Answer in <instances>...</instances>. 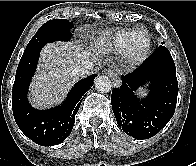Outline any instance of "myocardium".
I'll return each mask as SVG.
<instances>
[{
    "label": "myocardium",
    "mask_w": 196,
    "mask_h": 166,
    "mask_svg": "<svg viewBox=\"0 0 196 166\" xmlns=\"http://www.w3.org/2000/svg\"><path fill=\"white\" fill-rule=\"evenodd\" d=\"M138 33H144L146 35L147 41L145 46L140 50H135L132 45V39ZM152 46V39L149 32L145 29L133 30L127 38V51L126 59L130 66H138L142 64L149 56Z\"/></svg>",
    "instance_id": "myocardium-1"
}]
</instances>
